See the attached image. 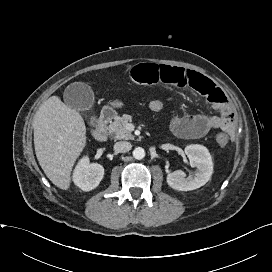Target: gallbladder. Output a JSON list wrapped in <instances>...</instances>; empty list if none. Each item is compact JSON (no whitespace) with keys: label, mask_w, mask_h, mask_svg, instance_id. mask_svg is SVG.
I'll return each instance as SVG.
<instances>
[{"label":"gallbladder","mask_w":272,"mask_h":272,"mask_svg":"<svg viewBox=\"0 0 272 272\" xmlns=\"http://www.w3.org/2000/svg\"><path fill=\"white\" fill-rule=\"evenodd\" d=\"M63 98L69 107L77 111L90 110L94 104V93L91 87L82 82L68 85L64 90ZM90 125L95 126L94 117L91 118Z\"/></svg>","instance_id":"gallbladder-1"}]
</instances>
